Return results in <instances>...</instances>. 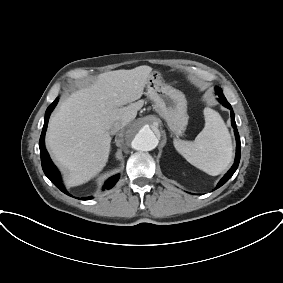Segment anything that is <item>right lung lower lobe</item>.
<instances>
[{
    "label": "right lung lower lobe",
    "instance_id": "right-lung-lower-lobe-1",
    "mask_svg": "<svg viewBox=\"0 0 283 283\" xmlns=\"http://www.w3.org/2000/svg\"><path fill=\"white\" fill-rule=\"evenodd\" d=\"M57 102H58V98H56L55 101L51 105H49V107L46 110L44 126H43L41 137H40V140H39L41 164H42L43 171H44L45 175L47 176V178L57 188H59L63 193L69 195L68 192L66 191V189L64 188L63 184L61 183V177H60L59 171L57 170V168L55 167V165L51 161V159L48 155V152L45 148V143H44V137H45V132H46V129H47L48 120H49L50 114L53 111L54 107L56 106ZM118 178H119L118 175L110 178L106 182L105 187L107 189L111 188L117 182ZM91 198L92 197L82 198V200H88V199H91Z\"/></svg>",
    "mask_w": 283,
    "mask_h": 283
}]
</instances>
